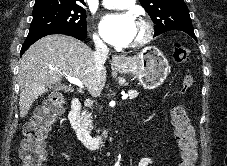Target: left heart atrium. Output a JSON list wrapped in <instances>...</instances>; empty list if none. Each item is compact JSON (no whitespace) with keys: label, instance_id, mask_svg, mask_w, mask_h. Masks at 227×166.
<instances>
[{"label":"left heart atrium","instance_id":"obj_1","mask_svg":"<svg viewBox=\"0 0 227 166\" xmlns=\"http://www.w3.org/2000/svg\"><path fill=\"white\" fill-rule=\"evenodd\" d=\"M135 22L129 14L107 15L100 22V31L111 44L125 45L131 42Z\"/></svg>","mask_w":227,"mask_h":166}]
</instances>
